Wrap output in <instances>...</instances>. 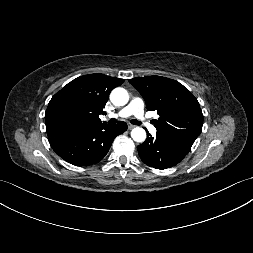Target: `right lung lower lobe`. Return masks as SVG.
Returning a JSON list of instances; mask_svg holds the SVG:
<instances>
[{
  "label": "right lung lower lobe",
  "instance_id": "1",
  "mask_svg": "<svg viewBox=\"0 0 253 253\" xmlns=\"http://www.w3.org/2000/svg\"><path fill=\"white\" fill-rule=\"evenodd\" d=\"M127 130L119 121L114 126L102 124L49 140L52 149L65 161L76 166H89L102 160L116 136Z\"/></svg>",
  "mask_w": 253,
  "mask_h": 253
}]
</instances>
